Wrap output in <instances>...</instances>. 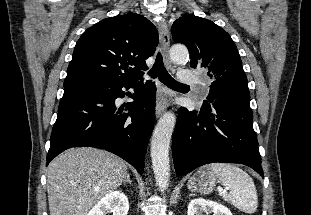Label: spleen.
<instances>
[{"label": "spleen", "mask_w": 311, "mask_h": 215, "mask_svg": "<svg viewBox=\"0 0 311 215\" xmlns=\"http://www.w3.org/2000/svg\"><path fill=\"white\" fill-rule=\"evenodd\" d=\"M207 170L229 190L224 200L247 214L257 210L258 197L253 179L238 166L226 163H213Z\"/></svg>", "instance_id": "3e777b00"}]
</instances>
